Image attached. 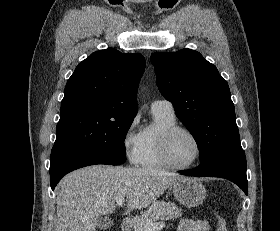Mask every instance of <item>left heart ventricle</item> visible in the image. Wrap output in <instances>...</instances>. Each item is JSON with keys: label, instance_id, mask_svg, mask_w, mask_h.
Instances as JSON below:
<instances>
[{"label": "left heart ventricle", "instance_id": "b2bd125f", "mask_svg": "<svg viewBox=\"0 0 280 231\" xmlns=\"http://www.w3.org/2000/svg\"><path fill=\"white\" fill-rule=\"evenodd\" d=\"M170 156L178 165H188L197 157V144L187 133L179 132L171 140Z\"/></svg>", "mask_w": 280, "mask_h": 231}]
</instances>
